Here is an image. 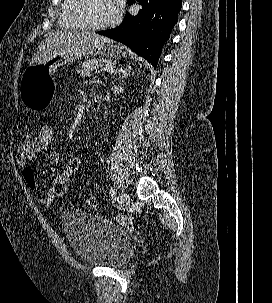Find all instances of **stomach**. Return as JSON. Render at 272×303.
Wrapping results in <instances>:
<instances>
[{"instance_id":"stomach-1","label":"stomach","mask_w":272,"mask_h":303,"mask_svg":"<svg viewBox=\"0 0 272 303\" xmlns=\"http://www.w3.org/2000/svg\"><path fill=\"white\" fill-rule=\"evenodd\" d=\"M86 55H94L110 59L127 57V52L116 45L112 40L101 42L90 48L75 49L65 55H53L47 61L28 66L20 81V98L29 110H38L47 107L54 92L52 73L60 66L73 63Z\"/></svg>"}]
</instances>
